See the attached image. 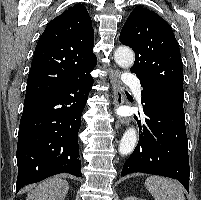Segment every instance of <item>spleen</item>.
<instances>
[{
  "label": "spleen",
  "instance_id": "obj_1",
  "mask_svg": "<svg viewBox=\"0 0 201 200\" xmlns=\"http://www.w3.org/2000/svg\"><path fill=\"white\" fill-rule=\"evenodd\" d=\"M145 187L155 200H185L181 185L164 177H148Z\"/></svg>",
  "mask_w": 201,
  "mask_h": 200
}]
</instances>
